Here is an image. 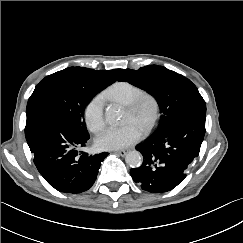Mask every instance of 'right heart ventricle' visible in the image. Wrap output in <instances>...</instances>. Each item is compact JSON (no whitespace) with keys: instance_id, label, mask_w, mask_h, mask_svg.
<instances>
[{"instance_id":"obj_1","label":"right heart ventricle","mask_w":243,"mask_h":243,"mask_svg":"<svg viewBox=\"0 0 243 243\" xmlns=\"http://www.w3.org/2000/svg\"><path fill=\"white\" fill-rule=\"evenodd\" d=\"M145 90L131 82L120 81L106 89L104 95L109 100L128 105Z\"/></svg>"}]
</instances>
